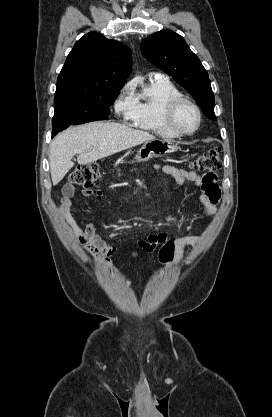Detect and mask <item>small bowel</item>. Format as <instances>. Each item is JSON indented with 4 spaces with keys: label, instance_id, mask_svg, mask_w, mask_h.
<instances>
[{
    "label": "small bowel",
    "instance_id": "c3829d8e",
    "mask_svg": "<svg viewBox=\"0 0 272 417\" xmlns=\"http://www.w3.org/2000/svg\"><path fill=\"white\" fill-rule=\"evenodd\" d=\"M154 167L156 169H161L165 174L170 175L179 185L186 181H190L200 187L201 194L199 200L202 207V214L204 216H211L215 213L216 204L220 199L221 193L217 183V176L214 173L200 176L194 171L179 169L169 164L163 166L155 164ZM74 194L75 186L72 183H66L62 189V199L58 206L60 217L68 225L73 236L81 244L83 249L94 257L96 263L109 268L113 264V256L115 255L117 248L108 245L98 235L96 228L92 223L85 224L83 228L76 223L71 214ZM82 194L86 197L95 195L100 198L103 196L101 190H96L94 192L91 188H84ZM169 239H172V234L168 232H157L140 240L138 245H160ZM199 241L200 239L192 234H180L175 236V263L180 265L185 249L189 246L196 245Z\"/></svg>",
    "mask_w": 272,
    "mask_h": 417
}]
</instances>
